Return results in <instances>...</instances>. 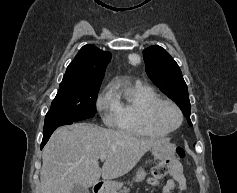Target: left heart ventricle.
Instances as JSON below:
<instances>
[{
	"mask_svg": "<svg viewBox=\"0 0 237 193\" xmlns=\"http://www.w3.org/2000/svg\"><path fill=\"white\" fill-rule=\"evenodd\" d=\"M160 119L165 125L169 127L176 126L179 120L176 111L170 106L162 107L160 111Z\"/></svg>",
	"mask_w": 237,
	"mask_h": 193,
	"instance_id": "1",
	"label": "left heart ventricle"
}]
</instances>
